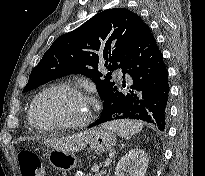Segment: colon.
Listing matches in <instances>:
<instances>
[{"instance_id":"obj_1","label":"colon","mask_w":205,"mask_h":176,"mask_svg":"<svg viewBox=\"0 0 205 176\" xmlns=\"http://www.w3.org/2000/svg\"><path fill=\"white\" fill-rule=\"evenodd\" d=\"M17 162L21 176H45V167L39 156L33 151H19Z\"/></svg>"}]
</instances>
